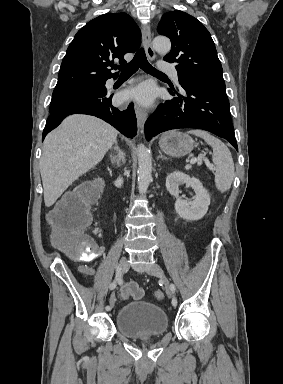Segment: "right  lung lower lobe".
I'll return each mask as SVG.
<instances>
[{"label": "right lung lower lobe", "mask_w": 283, "mask_h": 384, "mask_svg": "<svg viewBox=\"0 0 283 384\" xmlns=\"http://www.w3.org/2000/svg\"><path fill=\"white\" fill-rule=\"evenodd\" d=\"M106 94L107 91L75 104L50 110V115L43 130L42 140L60 124L64 117L73 113L94 115L114 126L125 136L129 138L135 136L137 133V120L133 104L131 103L127 109H117L112 106L111 97L106 96Z\"/></svg>", "instance_id": "obj_1"}]
</instances>
